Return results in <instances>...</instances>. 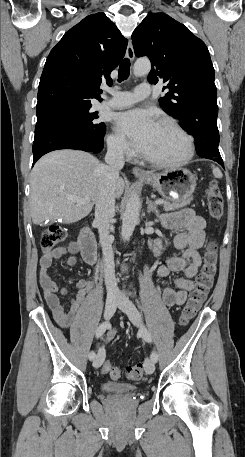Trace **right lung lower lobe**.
Instances as JSON below:
<instances>
[{
	"label": "right lung lower lobe",
	"instance_id": "obj_1",
	"mask_svg": "<svg viewBox=\"0 0 245 457\" xmlns=\"http://www.w3.org/2000/svg\"><path fill=\"white\" fill-rule=\"evenodd\" d=\"M104 141H96L81 130L51 128L35 133L33 142V165L44 154L59 149H76L99 153Z\"/></svg>",
	"mask_w": 245,
	"mask_h": 457
}]
</instances>
